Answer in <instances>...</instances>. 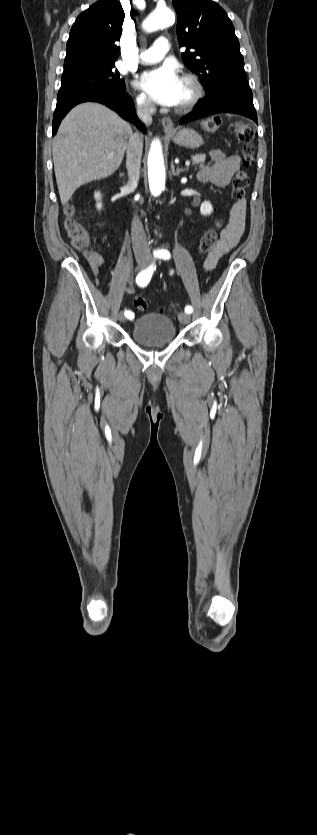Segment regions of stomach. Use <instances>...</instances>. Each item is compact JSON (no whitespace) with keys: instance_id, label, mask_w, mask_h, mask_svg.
I'll return each mask as SVG.
<instances>
[{"instance_id":"stomach-1","label":"stomach","mask_w":317,"mask_h":835,"mask_svg":"<svg viewBox=\"0 0 317 835\" xmlns=\"http://www.w3.org/2000/svg\"><path fill=\"white\" fill-rule=\"evenodd\" d=\"M175 144L195 149L203 144L202 136L192 128H180L170 133Z\"/></svg>"}]
</instances>
